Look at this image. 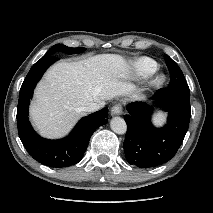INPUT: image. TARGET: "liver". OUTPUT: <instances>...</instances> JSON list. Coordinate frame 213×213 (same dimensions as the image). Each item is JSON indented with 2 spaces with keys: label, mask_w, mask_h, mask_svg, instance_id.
Returning <instances> with one entry per match:
<instances>
[{
  "label": "liver",
  "mask_w": 213,
  "mask_h": 213,
  "mask_svg": "<svg viewBox=\"0 0 213 213\" xmlns=\"http://www.w3.org/2000/svg\"><path fill=\"white\" fill-rule=\"evenodd\" d=\"M130 67L117 54H101L78 62L53 65L35 89L30 107L31 120L38 132L47 138L69 133L91 102L131 96L135 85L128 81Z\"/></svg>",
  "instance_id": "1"
}]
</instances>
